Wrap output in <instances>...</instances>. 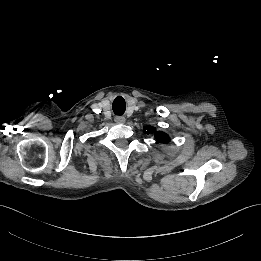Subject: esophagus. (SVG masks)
Segmentation results:
<instances>
[{"mask_svg": "<svg viewBox=\"0 0 261 261\" xmlns=\"http://www.w3.org/2000/svg\"><path fill=\"white\" fill-rule=\"evenodd\" d=\"M125 117H123V116H117V117H115L114 118V121L117 123V124H123V123H125Z\"/></svg>", "mask_w": 261, "mask_h": 261, "instance_id": "obj_1", "label": "esophagus"}]
</instances>
